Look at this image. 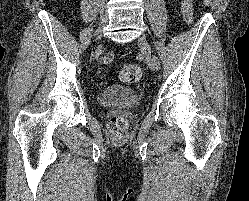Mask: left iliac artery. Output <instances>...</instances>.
I'll use <instances>...</instances> for the list:
<instances>
[{"instance_id": "left-iliac-artery-1", "label": "left iliac artery", "mask_w": 249, "mask_h": 201, "mask_svg": "<svg viewBox=\"0 0 249 201\" xmlns=\"http://www.w3.org/2000/svg\"><path fill=\"white\" fill-rule=\"evenodd\" d=\"M154 61H155L156 69L159 70L160 69V62L156 56H154Z\"/></svg>"}]
</instances>
